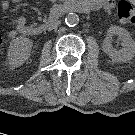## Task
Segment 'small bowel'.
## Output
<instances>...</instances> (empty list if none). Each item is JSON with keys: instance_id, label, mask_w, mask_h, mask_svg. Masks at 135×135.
Here are the masks:
<instances>
[{"instance_id": "1", "label": "small bowel", "mask_w": 135, "mask_h": 135, "mask_svg": "<svg viewBox=\"0 0 135 135\" xmlns=\"http://www.w3.org/2000/svg\"><path fill=\"white\" fill-rule=\"evenodd\" d=\"M22 0H3L1 7L3 9H9L11 3H18ZM56 1V0H52ZM86 4L90 5L91 9H103L106 12H110L114 6V0H86ZM27 29L26 20L23 17H18L15 20V29L8 33L9 37L14 38L18 34H24Z\"/></svg>"}]
</instances>
